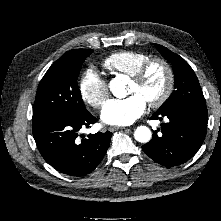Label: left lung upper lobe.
Returning a JSON list of instances; mask_svg holds the SVG:
<instances>
[{"label": "left lung upper lobe", "mask_w": 221, "mask_h": 221, "mask_svg": "<svg viewBox=\"0 0 221 221\" xmlns=\"http://www.w3.org/2000/svg\"><path fill=\"white\" fill-rule=\"evenodd\" d=\"M159 52L172 63L175 90L157 112H165L185 105H206L197 76L190 65L179 55L155 44Z\"/></svg>", "instance_id": "1"}]
</instances>
